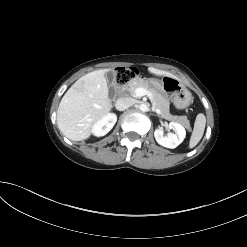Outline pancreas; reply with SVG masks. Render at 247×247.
Segmentation results:
<instances>
[{"instance_id":"cf45deb5","label":"pancreas","mask_w":247,"mask_h":247,"mask_svg":"<svg viewBox=\"0 0 247 247\" xmlns=\"http://www.w3.org/2000/svg\"><path fill=\"white\" fill-rule=\"evenodd\" d=\"M140 87L151 92L153 96L152 104L154 109L160 110L159 116L166 120L177 121L184 125L189 131L191 130L187 116H174L170 114V102L157 90L156 84L153 80L148 82L141 78L131 79L123 86V89L127 90L132 96H135V90Z\"/></svg>"}]
</instances>
